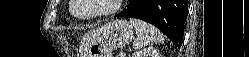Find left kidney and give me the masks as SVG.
Segmentation results:
<instances>
[{
  "label": "left kidney",
  "mask_w": 249,
  "mask_h": 57,
  "mask_svg": "<svg viewBox=\"0 0 249 57\" xmlns=\"http://www.w3.org/2000/svg\"><path fill=\"white\" fill-rule=\"evenodd\" d=\"M131 57H160V55L156 49L153 47H148L139 51H135Z\"/></svg>",
  "instance_id": "1"
}]
</instances>
